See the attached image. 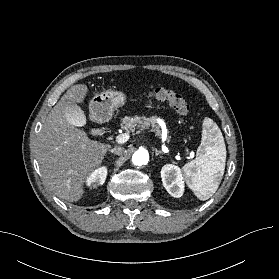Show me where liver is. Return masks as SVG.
<instances>
[{
    "mask_svg": "<svg viewBox=\"0 0 279 279\" xmlns=\"http://www.w3.org/2000/svg\"><path fill=\"white\" fill-rule=\"evenodd\" d=\"M87 93L85 84L71 86L49 112L36 142V155L44 184L57 197L70 202L81 199L87 176L102 164L110 148L109 145L90 140L83 130L75 127L67 118V102L82 103Z\"/></svg>",
    "mask_w": 279,
    "mask_h": 279,
    "instance_id": "6515ba94",
    "label": "liver"
}]
</instances>
